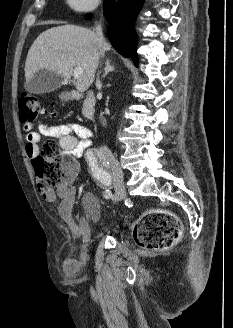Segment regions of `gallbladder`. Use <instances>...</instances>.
<instances>
[{"label": "gallbladder", "instance_id": "obj_1", "mask_svg": "<svg viewBox=\"0 0 233 328\" xmlns=\"http://www.w3.org/2000/svg\"><path fill=\"white\" fill-rule=\"evenodd\" d=\"M62 79L53 71L40 69L25 83V89L34 94H44L61 86Z\"/></svg>", "mask_w": 233, "mask_h": 328}]
</instances>
